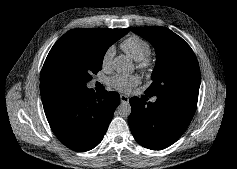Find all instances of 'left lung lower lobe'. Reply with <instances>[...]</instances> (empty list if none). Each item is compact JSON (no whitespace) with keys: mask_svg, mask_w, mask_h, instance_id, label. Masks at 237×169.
<instances>
[{"mask_svg":"<svg viewBox=\"0 0 237 169\" xmlns=\"http://www.w3.org/2000/svg\"><path fill=\"white\" fill-rule=\"evenodd\" d=\"M198 96L168 93L154 103L130 99L132 112L128 121L135 140L152 150H162L184 133L196 110Z\"/></svg>","mask_w":237,"mask_h":169,"instance_id":"left-lung-lower-lobe-1","label":"left lung lower lobe"}]
</instances>
